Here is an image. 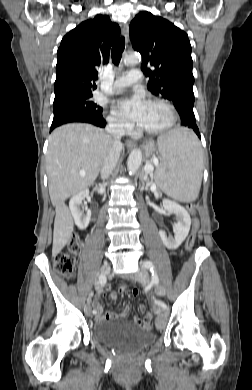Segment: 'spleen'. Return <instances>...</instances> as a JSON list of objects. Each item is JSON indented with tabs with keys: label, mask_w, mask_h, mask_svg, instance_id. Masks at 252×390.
<instances>
[{
	"label": "spleen",
	"mask_w": 252,
	"mask_h": 390,
	"mask_svg": "<svg viewBox=\"0 0 252 390\" xmlns=\"http://www.w3.org/2000/svg\"><path fill=\"white\" fill-rule=\"evenodd\" d=\"M162 163L155 172L157 186L180 202L197 199L203 172V153L194 133L185 128L158 138Z\"/></svg>",
	"instance_id": "1"
}]
</instances>
